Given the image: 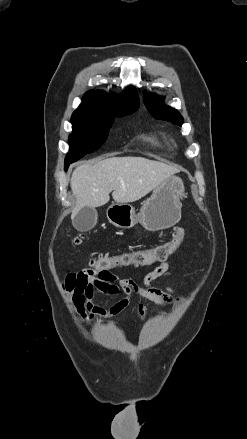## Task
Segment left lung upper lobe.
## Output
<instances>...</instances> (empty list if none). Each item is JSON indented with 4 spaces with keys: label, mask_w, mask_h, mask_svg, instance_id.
<instances>
[{
    "label": "left lung upper lobe",
    "mask_w": 247,
    "mask_h": 439,
    "mask_svg": "<svg viewBox=\"0 0 247 439\" xmlns=\"http://www.w3.org/2000/svg\"><path fill=\"white\" fill-rule=\"evenodd\" d=\"M144 103L148 111L156 118L172 122L173 124L182 126L183 119L180 113L163 103V98L156 95L144 94Z\"/></svg>",
    "instance_id": "left-lung-upper-lobe-1"
}]
</instances>
